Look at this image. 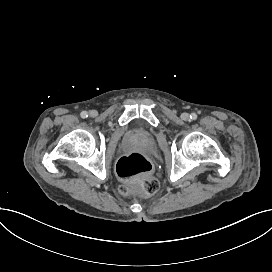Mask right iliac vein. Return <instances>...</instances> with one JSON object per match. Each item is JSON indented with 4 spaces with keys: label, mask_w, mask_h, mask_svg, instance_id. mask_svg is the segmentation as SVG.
I'll list each match as a JSON object with an SVG mask.
<instances>
[{
    "label": "right iliac vein",
    "mask_w": 272,
    "mask_h": 272,
    "mask_svg": "<svg viewBox=\"0 0 272 272\" xmlns=\"http://www.w3.org/2000/svg\"><path fill=\"white\" fill-rule=\"evenodd\" d=\"M90 115H91V116H95V115H96V111H95V110H91V111H90Z\"/></svg>",
    "instance_id": "1"
}]
</instances>
